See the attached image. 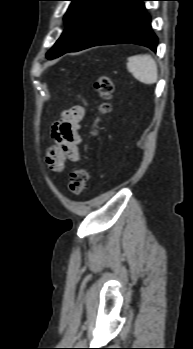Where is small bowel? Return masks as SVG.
I'll list each match as a JSON object with an SVG mask.
<instances>
[{
  "instance_id": "c3829d8e",
  "label": "small bowel",
  "mask_w": 193,
  "mask_h": 349,
  "mask_svg": "<svg viewBox=\"0 0 193 349\" xmlns=\"http://www.w3.org/2000/svg\"><path fill=\"white\" fill-rule=\"evenodd\" d=\"M86 115V104L75 105L66 110L53 124L51 137L53 145L47 150L46 162L51 170L61 172L66 160L78 162L81 159L79 146L82 138L79 134Z\"/></svg>"
}]
</instances>
